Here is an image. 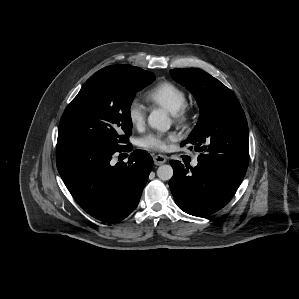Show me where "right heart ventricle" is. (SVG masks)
<instances>
[{"label": "right heart ventricle", "instance_id": "e07e8e85", "mask_svg": "<svg viewBox=\"0 0 299 299\" xmlns=\"http://www.w3.org/2000/svg\"><path fill=\"white\" fill-rule=\"evenodd\" d=\"M147 99L154 105L168 110L170 113L177 112L186 104V92L178 85L163 81L156 84L146 93Z\"/></svg>", "mask_w": 299, "mask_h": 299}]
</instances>
